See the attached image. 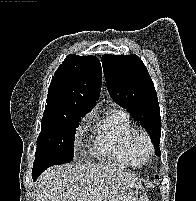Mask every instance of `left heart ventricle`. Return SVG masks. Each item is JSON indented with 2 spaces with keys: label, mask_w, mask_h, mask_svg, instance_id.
<instances>
[{
  "label": "left heart ventricle",
  "mask_w": 196,
  "mask_h": 201,
  "mask_svg": "<svg viewBox=\"0 0 196 201\" xmlns=\"http://www.w3.org/2000/svg\"><path fill=\"white\" fill-rule=\"evenodd\" d=\"M133 155L137 163L141 164L148 157V148L145 140L142 137H137L133 144Z\"/></svg>",
  "instance_id": "obj_1"
}]
</instances>
